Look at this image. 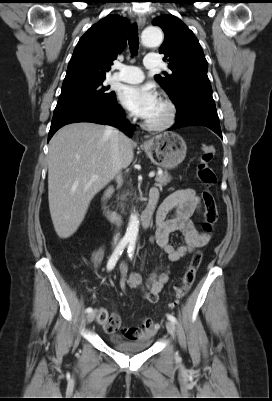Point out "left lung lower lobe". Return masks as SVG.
I'll return each mask as SVG.
<instances>
[{
	"label": "left lung lower lobe",
	"mask_w": 272,
	"mask_h": 401,
	"mask_svg": "<svg viewBox=\"0 0 272 401\" xmlns=\"http://www.w3.org/2000/svg\"><path fill=\"white\" fill-rule=\"evenodd\" d=\"M176 115V124L170 130L189 125H201L212 129L223 139L214 100H188L177 108Z\"/></svg>",
	"instance_id": "0a47b994"
}]
</instances>
